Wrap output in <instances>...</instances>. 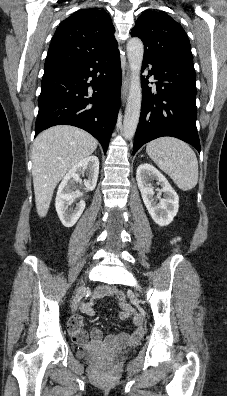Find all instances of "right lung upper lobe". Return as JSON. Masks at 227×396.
<instances>
[{
  "label": "right lung upper lobe",
  "instance_id": "obj_1",
  "mask_svg": "<svg viewBox=\"0 0 227 396\" xmlns=\"http://www.w3.org/2000/svg\"><path fill=\"white\" fill-rule=\"evenodd\" d=\"M115 28L100 8L82 9L62 21L51 40L44 69L86 61L117 49Z\"/></svg>",
  "mask_w": 227,
  "mask_h": 396
}]
</instances>
